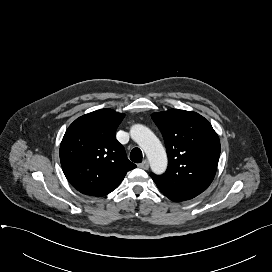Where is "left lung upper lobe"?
<instances>
[{
    "label": "left lung upper lobe",
    "instance_id": "1",
    "mask_svg": "<svg viewBox=\"0 0 272 272\" xmlns=\"http://www.w3.org/2000/svg\"><path fill=\"white\" fill-rule=\"evenodd\" d=\"M160 129L168 155L163 175L151 174L159 190L174 202L189 200L214 179L220 156L219 137L203 116L170 109L151 115Z\"/></svg>",
    "mask_w": 272,
    "mask_h": 272
}]
</instances>
